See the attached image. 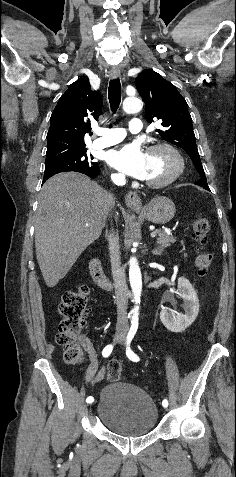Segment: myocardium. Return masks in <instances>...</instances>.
<instances>
[{
    "instance_id": "obj_1",
    "label": "myocardium",
    "mask_w": 236,
    "mask_h": 477,
    "mask_svg": "<svg viewBox=\"0 0 236 477\" xmlns=\"http://www.w3.org/2000/svg\"><path fill=\"white\" fill-rule=\"evenodd\" d=\"M157 150H163L167 152L176 163L175 170L168 177L158 181L145 180V184L149 187L162 188L175 182L184 173L186 164L181 153L174 146L168 143L153 144L148 148V153Z\"/></svg>"
}]
</instances>
